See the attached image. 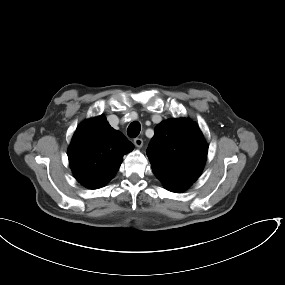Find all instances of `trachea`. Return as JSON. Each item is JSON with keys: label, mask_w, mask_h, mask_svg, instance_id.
<instances>
[{"label": "trachea", "mask_w": 285, "mask_h": 285, "mask_svg": "<svg viewBox=\"0 0 285 285\" xmlns=\"http://www.w3.org/2000/svg\"><path fill=\"white\" fill-rule=\"evenodd\" d=\"M141 126L139 122H133L129 125L127 133L130 137L135 138L139 135Z\"/></svg>", "instance_id": "3493384b"}]
</instances>
